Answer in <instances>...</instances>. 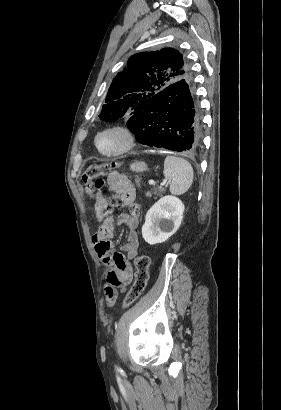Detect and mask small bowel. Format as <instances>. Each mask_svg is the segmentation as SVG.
I'll use <instances>...</instances> for the list:
<instances>
[{
  "mask_svg": "<svg viewBox=\"0 0 281 410\" xmlns=\"http://www.w3.org/2000/svg\"><path fill=\"white\" fill-rule=\"evenodd\" d=\"M107 190L119 194L126 206L135 203V190L129 179L118 172H113L107 179ZM94 210L100 223L99 228L92 237L95 251L104 266L107 267L106 288L107 301L114 302L116 289H125L131 282L133 269L130 261L138 254L139 237L137 228L139 224L138 213L122 214L118 220L111 215L109 202L103 190L96 193ZM117 224H124L128 228L126 243L122 252H113L111 238Z\"/></svg>",
  "mask_w": 281,
  "mask_h": 410,
  "instance_id": "small-bowel-1",
  "label": "small bowel"
}]
</instances>
